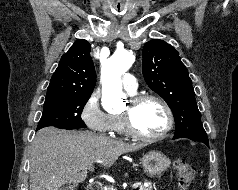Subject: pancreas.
Instances as JSON below:
<instances>
[{
    "mask_svg": "<svg viewBox=\"0 0 238 190\" xmlns=\"http://www.w3.org/2000/svg\"><path fill=\"white\" fill-rule=\"evenodd\" d=\"M114 189H116V188H114L113 186H109V187H108L107 189H105V190H114ZM139 190H153V187H152L151 183H149L148 186H143V185H141V186L139 187Z\"/></svg>",
    "mask_w": 238,
    "mask_h": 190,
    "instance_id": "1",
    "label": "pancreas"
}]
</instances>
